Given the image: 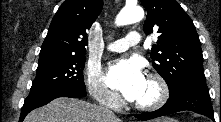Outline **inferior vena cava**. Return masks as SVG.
<instances>
[{"instance_id": "602c4592", "label": "inferior vena cava", "mask_w": 221, "mask_h": 122, "mask_svg": "<svg viewBox=\"0 0 221 122\" xmlns=\"http://www.w3.org/2000/svg\"><path fill=\"white\" fill-rule=\"evenodd\" d=\"M99 108H100V109L102 110V112H103L104 114H106L108 117H110V118L115 117V114H114L111 110H109V109H107V108H104V107H102V106H100Z\"/></svg>"}]
</instances>
